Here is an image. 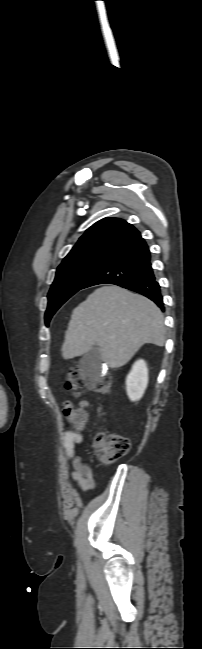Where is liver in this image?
Segmentation results:
<instances>
[{"label": "liver", "mask_w": 202, "mask_h": 649, "mask_svg": "<svg viewBox=\"0 0 202 649\" xmlns=\"http://www.w3.org/2000/svg\"><path fill=\"white\" fill-rule=\"evenodd\" d=\"M165 333L163 314L155 303L115 285L103 286L73 310L62 356L84 355L96 344L106 364L119 368L146 343L162 347Z\"/></svg>", "instance_id": "obj_1"}]
</instances>
